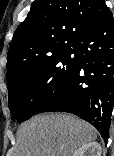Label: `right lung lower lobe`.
<instances>
[{"label": "right lung lower lobe", "mask_w": 114, "mask_h": 156, "mask_svg": "<svg viewBox=\"0 0 114 156\" xmlns=\"http://www.w3.org/2000/svg\"><path fill=\"white\" fill-rule=\"evenodd\" d=\"M78 66L63 92L42 112L73 113L108 141L114 104V19L108 9L75 44Z\"/></svg>", "instance_id": "obj_1"}]
</instances>
